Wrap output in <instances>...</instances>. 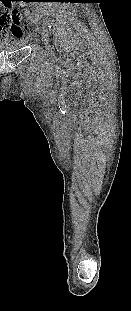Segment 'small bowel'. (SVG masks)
<instances>
[{
    "label": "small bowel",
    "instance_id": "1",
    "mask_svg": "<svg viewBox=\"0 0 131 311\" xmlns=\"http://www.w3.org/2000/svg\"><path fill=\"white\" fill-rule=\"evenodd\" d=\"M45 13H40V14H34L35 19H39L42 15ZM10 34L13 36L14 39L22 37L23 32L20 31V29H4L0 32V43L6 42L9 40ZM31 35H27L24 38H22L24 41H28L31 39ZM11 38V39H13Z\"/></svg>",
    "mask_w": 131,
    "mask_h": 311
}]
</instances>
